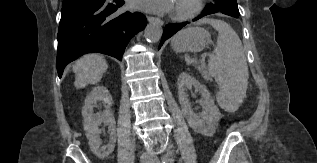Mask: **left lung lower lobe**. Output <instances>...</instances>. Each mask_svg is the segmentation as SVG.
Instances as JSON below:
<instances>
[{"mask_svg": "<svg viewBox=\"0 0 317 163\" xmlns=\"http://www.w3.org/2000/svg\"><path fill=\"white\" fill-rule=\"evenodd\" d=\"M215 12H210V11H206L204 10L202 12L201 15H199L198 17H196L195 19H193V21L198 20L200 18H202L205 15H209ZM232 17L237 18L238 16H233L230 15ZM189 22H183V23H178V24H169L167 26H165L164 32H163V36L161 38V42H160V46L159 48L162 46V44L164 43L165 40H167L168 38H170L173 34H175L177 31H179L182 27H184L185 25H187Z\"/></svg>", "mask_w": 317, "mask_h": 163, "instance_id": "1", "label": "left lung lower lobe"}]
</instances>
